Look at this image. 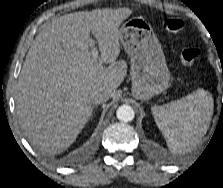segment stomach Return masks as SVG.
I'll return each mask as SVG.
<instances>
[{
	"instance_id": "obj_1",
	"label": "stomach",
	"mask_w": 223,
	"mask_h": 188,
	"mask_svg": "<svg viewBox=\"0 0 223 188\" xmlns=\"http://www.w3.org/2000/svg\"><path fill=\"white\" fill-rule=\"evenodd\" d=\"M119 35L131 59L133 96L149 100L165 91L169 87L170 73L151 25L142 17H134L121 25Z\"/></svg>"
}]
</instances>
